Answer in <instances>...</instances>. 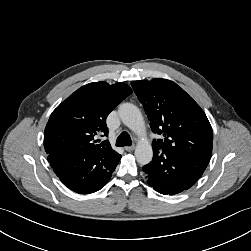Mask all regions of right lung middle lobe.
<instances>
[{
	"label": "right lung middle lobe",
	"mask_w": 251,
	"mask_h": 251,
	"mask_svg": "<svg viewBox=\"0 0 251 251\" xmlns=\"http://www.w3.org/2000/svg\"><path fill=\"white\" fill-rule=\"evenodd\" d=\"M62 144H63V143H62V142H60V143H59V146H61Z\"/></svg>",
	"instance_id": "right-lung-middle-lobe-1"
}]
</instances>
